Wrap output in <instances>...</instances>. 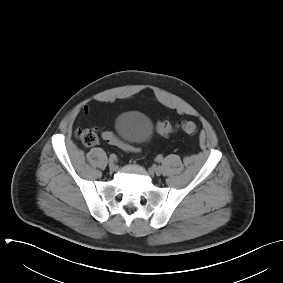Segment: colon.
<instances>
[{"label": "colon", "mask_w": 283, "mask_h": 283, "mask_svg": "<svg viewBox=\"0 0 283 283\" xmlns=\"http://www.w3.org/2000/svg\"><path fill=\"white\" fill-rule=\"evenodd\" d=\"M157 132L162 136H170L176 131H182L188 135H195L198 131V126L195 122L183 120L173 125L167 121H158L156 124ZM76 137L87 147L94 146L98 141V135L94 128H79L76 130ZM102 138L108 144L122 148L128 153H137V149L121 140L115 133L105 131L102 133Z\"/></svg>", "instance_id": "1"}]
</instances>
